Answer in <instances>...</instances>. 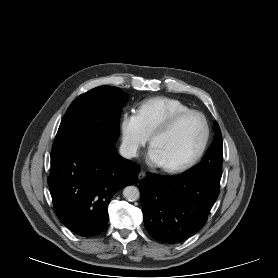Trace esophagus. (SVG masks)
I'll return each instance as SVG.
<instances>
[{"instance_id": "esophagus-1", "label": "esophagus", "mask_w": 278, "mask_h": 278, "mask_svg": "<svg viewBox=\"0 0 278 278\" xmlns=\"http://www.w3.org/2000/svg\"><path fill=\"white\" fill-rule=\"evenodd\" d=\"M145 177H146L145 172H144V171H140V173L138 174V179H139V180H142V179H144Z\"/></svg>"}]
</instances>
